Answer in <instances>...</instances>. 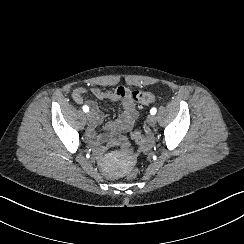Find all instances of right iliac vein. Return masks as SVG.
I'll list each match as a JSON object with an SVG mask.
<instances>
[{"instance_id": "obj_1", "label": "right iliac vein", "mask_w": 244, "mask_h": 244, "mask_svg": "<svg viewBox=\"0 0 244 244\" xmlns=\"http://www.w3.org/2000/svg\"><path fill=\"white\" fill-rule=\"evenodd\" d=\"M87 120L92 122L95 118L94 113L92 111L86 113Z\"/></svg>"}]
</instances>
